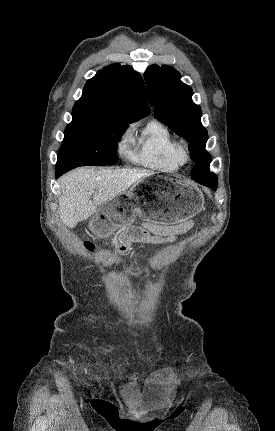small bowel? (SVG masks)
<instances>
[{"label": "small bowel", "instance_id": "obj_1", "mask_svg": "<svg viewBox=\"0 0 275 431\" xmlns=\"http://www.w3.org/2000/svg\"><path fill=\"white\" fill-rule=\"evenodd\" d=\"M193 226L192 221L174 225L145 224L143 228H133L123 233L118 241V253L123 254L134 242L160 244L174 241L177 236L186 233Z\"/></svg>", "mask_w": 275, "mask_h": 431}]
</instances>
